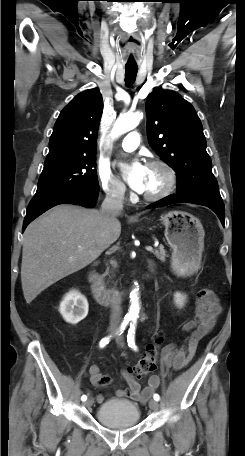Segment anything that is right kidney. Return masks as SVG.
<instances>
[{
  "mask_svg": "<svg viewBox=\"0 0 245 456\" xmlns=\"http://www.w3.org/2000/svg\"><path fill=\"white\" fill-rule=\"evenodd\" d=\"M88 301L84 295L77 290H72L65 295L60 303V314L70 324H77L88 314Z\"/></svg>",
  "mask_w": 245,
  "mask_h": 456,
  "instance_id": "obj_1",
  "label": "right kidney"
}]
</instances>
